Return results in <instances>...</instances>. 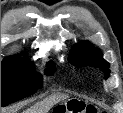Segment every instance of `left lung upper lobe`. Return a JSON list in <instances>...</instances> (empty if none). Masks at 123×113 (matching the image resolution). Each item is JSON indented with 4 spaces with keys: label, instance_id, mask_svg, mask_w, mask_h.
Wrapping results in <instances>:
<instances>
[{
    "label": "left lung upper lobe",
    "instance_id": "5c2ea615",
    "mask_svg": "<svg viewBox=\"0 0 123 113\" xmlns=\"http://www.w3.org/2000/svg\"><path fill=\"white\" fill-rule=\"evenodd\" d=\"M69 61L77 67L92 66L103 69L105 77L109 76V63L103 59L101 52L89 43L80 42L71 51Z\"/></svg>",
    "mask_w": 123,
    "mask_h": 113
}]
</instances>
